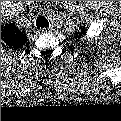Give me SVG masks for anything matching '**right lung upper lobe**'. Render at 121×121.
<instances>
[{
  "instance_id": "right-lung-upper-lobe-1",
  "label": "right lung upper lobe",
  "mask_w": 121,
  "mask_h": 121,
  "mask_svg": "<svg viewBox=\"0 0 121 121\" xmlns=\"http://www.w3.org/2000/svg\"><path fill=\"white\" fill-rule=\"evenodd\" d=\"M1 31V38L11 48H20L27 40L26 35L13 24H7Z\"/></svg>"
}]
</instances>
